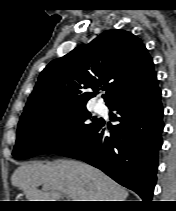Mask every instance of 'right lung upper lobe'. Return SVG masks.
<instances>
[{
  "instance_id": "1",
  "label": "right lung upper lobe",
  "mask_w": 176,
  "mask_h": 211,
  "mask_svg": "<svg viewBox=\"0 0 176 211\" xmlns=\"http://www.w3.org/2000/svg\"><path fill=\"white\" fill-rule=\"evenodd\" d=\"M156 83L152 58L142 41L124 30H108L46 66L20 119L51 109L85 106L101 88L107 90L105 102L110 108Z\"/></svg>"
}]
</instances>
